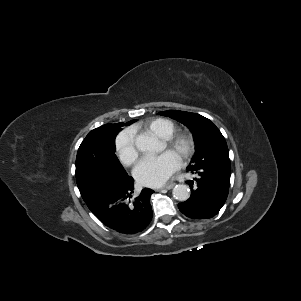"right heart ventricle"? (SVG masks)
I'll return each mask as SVG.
<instances>
[{
	"instance_id": "1",
	"label": "right heart ventricle",
	"mask_w": 301,
	"mask_h": 301,
	"mask_svg": "<svg viewBox=\"0 0 301 301\" xmlns=\"http://www.w3.org/2000/svg\"><path fill=\"white\" fill-rule=\"evenodd\" d=\"M146 131L150 132L151 134L166 139L176 131V124L168 119L165 118H157L147 122L144 125Z\"/></svg>"
}]
</instances>
